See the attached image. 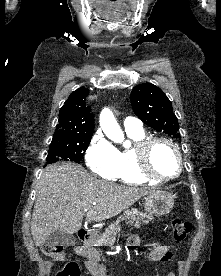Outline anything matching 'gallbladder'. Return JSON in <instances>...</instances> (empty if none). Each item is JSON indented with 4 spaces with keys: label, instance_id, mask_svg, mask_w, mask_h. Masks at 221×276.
Masks as SVG:
<instances>
[{
    "label": "gallbladder",
    "instance_id": "1",
    "mask_svg": "<svg viewBox=\"0 0 221 276\" xmlns=\"http://www.w3.org/2000/svg\"><path fill=\"white\" fill-rule=\"evenodd\" d=\"M76 238L72 234L56 230L52 232L47 240L46 245L50 247L56 246H73L75 244Z\"/></svg>",
    "mask_w": 221,
    "mask_h": 276
}]
</instances>
